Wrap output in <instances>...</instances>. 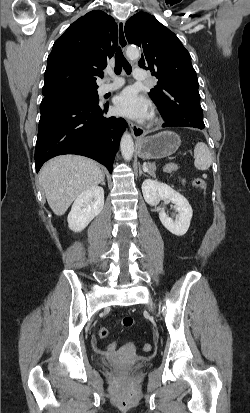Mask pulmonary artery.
<instances>
[{
    "mask_svg": "<svg viewBox=\"0 0 250 413\" xmlns=\"http://www.w3.org/2000/svg\"><path fill=\"white\" fill-rule=\"evenodd\" d=\"M113 81L110 83H105L100 87L101 93H107L113 90L118 89L123 85V80L119 77H115L113 74H110ZM133 76L136 80L144 81L147 78L146 71L142 68H136L134 70Z\"/></svg>",
    "mask_w": 250,
    "mask_h": 413,
    "instance_id": "obj_1",
    "label": "pulmonary artery"
}]
</instances>
